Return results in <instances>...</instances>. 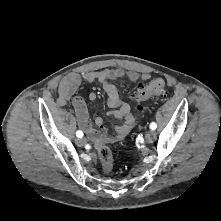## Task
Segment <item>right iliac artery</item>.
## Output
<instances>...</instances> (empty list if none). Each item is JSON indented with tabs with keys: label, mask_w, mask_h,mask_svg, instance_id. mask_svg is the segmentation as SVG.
Listing matches in <instances>:
<instances>
[{
	"label": "right iliac artery",
	"mask_w": 221,
	"mask_h": 221,
	"mask_svg": "<svg viewBox=\"0 0 221 221\" xmlns=\"http://www.w3.org/2000/svg\"><path fill=\"white\" fill-rule=\"evenodd\" d=\"M76 136H77L78 138H82V137H83V132L80 131V130H78V131L76 132Z\"/></svg>",
	"instance_id": "obj_1"
}]
</instances>
